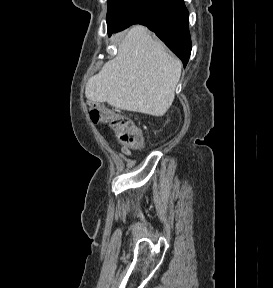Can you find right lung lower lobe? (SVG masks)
I'll return each mask as SVG.
<instances>
[{"mask_svg":"<svg viewBox=\"0 0 273 288\" xmlns=\"http://www.w3.org/2000/svg\"><path fill=\"white\" fill-rule=\"evenodd\" d=\"M133 24L145 25L155 32L186 66L191 53V38L184 0H137L108 33L111 35Z\"/></svg>","mask_w":273,"mask_h":288,"instance_id":"obj_1","label":"right lung lower lobe"}]
</instances>
